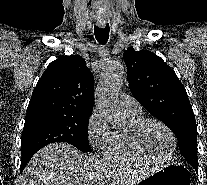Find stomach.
Masks as SVG:
<instances>
[{
	"mask_svg": "<svg viewBox=\"0 0 207 185\" xmlns=\"http://www.w3.org/2000/svg\"><path fill=\"white\" fill-rule=\"evenodd\" d=\"M139 185H190L189 172L179 164H171L141 180Z\"/></svg>",
	"mask_w": 207,
	"mask_h": 185,
	"instance_id": "obj_1",
	"label": "stomach"
}]
</instances>
